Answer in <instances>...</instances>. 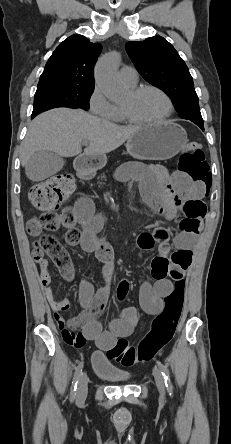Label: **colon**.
Listing matches in <instances>:
<instances>
[{
	"instance_id": "obj_1",
	"label": "colon",
	"mask_w": 231,
	"mask_h": 444,
	"mask_svg": "<svg viewBox=\"0 0 231 444\" xmlns=\"http://www.w3.org/2000/svg\"><path fill=\"white\" fill-rule=\"evenodd\" d=\"M178 172L193 182L204 185L211 183L207 156L200 143L191 141L182 153ZM74 189V182L69 176H56L35 184L29 192L32 205L40 211L33 215L26 224L27 232L40 236L36 250L45 253L65 276L72 273L71 259L68 252L53 236L43 233L55 231L63 223L72 220L71 210L59 212L62 201ZM206 206L201 202H187L184 205L185 218L180 222L182 232L197 234ZM163 233H166L163 230ZM185 282L183 279L174 282L173 291L165 299V308L152 322L150 331L136 344H130L122 338L107 351V356L123 366L148 362L172 339L183 308Z\"/></svg>"
}]
</instances>
